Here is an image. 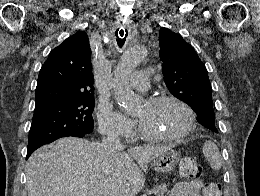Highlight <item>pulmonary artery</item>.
<instances>
[{"instance_id": "1", "label": "pulmonary artery", "mask_w": 260, "mask_h": 196, "mask_svg": "<svg viewBox=\"0 0 260 196\" xmlns=\"http://www.w3.org/2000/svg\"><path fill=\"white\" fill-rule=\"evenodd\" d=\"M149 73V69H138L137 72H135V79L126 80L127 84H132L128 85V90L147 91L149 88L147 83L150 81Z\"/></svg>"}]
</instances>
